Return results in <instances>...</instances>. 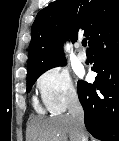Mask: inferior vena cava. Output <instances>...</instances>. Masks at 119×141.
I'll return each instance as SVG.
<instances>
[{"label": "inferior vena cava", "instance_id": "obj_1", "mask_svg": "<svg viewBox=\"0 0 119 141\" xmlns=\"http://www.w3.org/2000/svg\"><path fill=\"white\" fill-rule=\"evenodd\" d=\"M68 114L74 121L75 130L78 134L79 141H88L84 130V111L76 94H72L69 97Z\"/></svg>", "mask_w": 119, "mask_h": 141}]
</instances>
